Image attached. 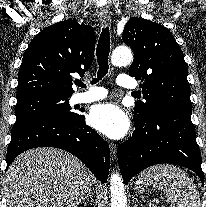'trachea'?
Wrapping results in <instances>:
<instances>
[{
  "label": "trachea",
  "instance_id": "trachea-1",
  "mask_svg": "<svg viewBox=\"0 0 206 207\" xmlns=\"http://www.w3.org/2000/svg\"><path fill=\"white\" fill-rule=\"evenodd\" d=\"M109 51H110V34H109L108 27H106V28H103V30L100 34L97 49H96L99 70L97 73V78H94L92 80V82H91L92 84L97 83L99 80H101L108 73ZM75 84L79 87H84V88L86 87V85H84L81 81H76Z\"/></svg>",
  "mask_w": 206,
  "mask_h": 207
}]
</instances>
